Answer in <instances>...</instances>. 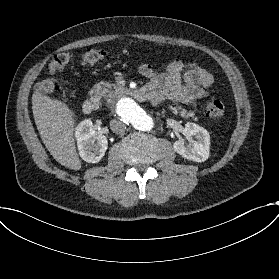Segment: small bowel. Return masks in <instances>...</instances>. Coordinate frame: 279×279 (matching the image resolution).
<instances>
[{
	"label": "small bowel",
	"mask_w": 279,
	"mask_h": 279,
	"mask_svg": "<svg viewBox=\"0 0 279 279\" xmlns=\"http://www.w3.org/2000/svg\"><path fill=\"white\" fill-rule=\"evenodd\" d=\"M138 70L151 80L141 90V95L154 104L165 100L193 103L207 95V88L213 82V76L200 65L180 59L164 69L141 63Z\"/></svg>",
	"instance_id": "1"
}]
</instances>
